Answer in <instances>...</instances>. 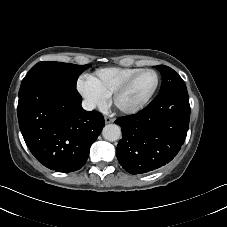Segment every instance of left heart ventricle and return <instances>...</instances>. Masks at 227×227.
I'll return each mask as SVG.
<instances>
[{"mask_svg": "<svg viewBox=\"0 0 227 227\" xmlns=\"http://www.w3.org/2000/svg\"><path fill=\"white\" fill-rule=\"evenodd\" d=\"M156 77L151 72L139 75L130 88L119 98L118 104L122 108H132L140 104L151 92Z\"/></svg>", "mask_w": 227, "mask_h": 227, "instance_id": "b2bd125f", "label": "left heart ventricle"}]
</instances>
